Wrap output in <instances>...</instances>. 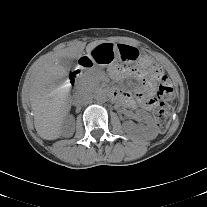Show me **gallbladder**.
Masks as SVG:
<instances>
[{
	"instance_id": "obj_1",
	"label": "gallbladder",
	"mask_w": 207,
	"mask_h": 207,
	"mask_svg": "<svg viewBox=\"0 0 207 207\" xmlns=\"http://www.w3.org/2000/svg\"><path fill=\"white\" fill-rule=\"evenodd\" d=\"M60 65H62L66 70L71 69L74 66V62L69 57H62L59 59Z\"/></svg>"
}]
</instances>
